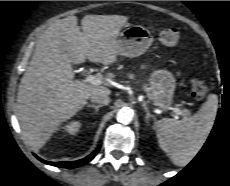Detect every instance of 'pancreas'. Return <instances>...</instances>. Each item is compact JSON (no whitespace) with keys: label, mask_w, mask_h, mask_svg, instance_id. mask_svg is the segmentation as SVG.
Returning <instances> with one entry per match:
<instances>
[{"label":"pancreas","mask_w":230,"mask_h":186,"mask_svg":"<svg viewBox=\"0 0 230 186\" xmlns=\"http://www.w3.org/2000/svg\"><path fill=\"white\" fill-rule=\"evenodd\" d=\"M127 75H128V77L130 79H135V75L134 74L128 73ZM142 88H143V90L149 92L148 93L149 96H152V93H151V90H150V87L148 86V84L143 83V87ZM182 115L185 116V117H188V116H190V112L188 110H184V111H182Z\"/></svg>","instance_id":"1"}]
</instances>
